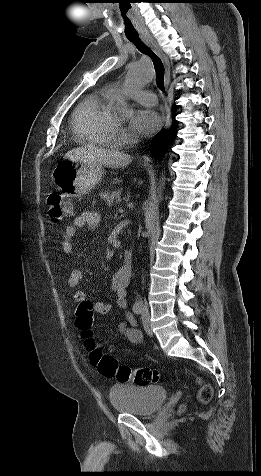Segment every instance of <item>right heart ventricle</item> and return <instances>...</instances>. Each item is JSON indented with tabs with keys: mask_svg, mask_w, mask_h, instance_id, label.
Returning a JSON list of instances; mask_svg holds the SVG:
<instances>
[{
	"mask_svg": "<svg viewBox=\"0 0 261 476\" xmlns=\"http://www.w3.org/2000/svg\"><path fill=\"white\" fill-rule=\"evenodd\" d=\"M111 100L110 91L103 90L87 95L77 106L72 124L81 143L102 146L113 144L117 124L110 113Z\"/></svg>",
	"mask_w": 261,
	"mask_h": 476,
	"instance_id": "obj_1",
	"label": "right heart ventricle"
}]
</instances>
